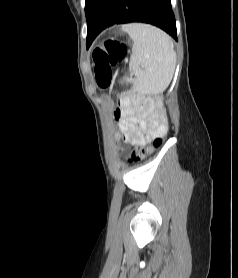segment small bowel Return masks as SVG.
Wrapping results in <instances>:
<instances>
[{
  "mask_svg": "<svg viewBox=\"0 0 238 278\" xmlns=\"http://www.w3.org/2000/svg\"><path fill=\"white\" fill-rule=\"evenodd\" d=\"M117 117L124 140L133 145H143L163 131L152 98L141 89H134L122 97Z\"/></svg>",
  "mask_w": 238,
  "mask_h": 278,
  "instance_id": "obj_1",
  "label": "small bowel"
}]
</instances>
